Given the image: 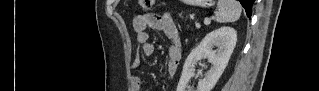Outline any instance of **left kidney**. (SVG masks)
I'll list each match as a JSON object with an SVG mask.
<instances>
[{
  "instance_id": "1",
  "label": "left kidney",
  "mask_w": 319,
  "mask_h": 91,
  "mask_svg": "<svg viewBox=\"0 0 319 91\" xmlns=\"http://www.w3.org/2000/svg\"><path fill=\"white\" fill-rule=\"evenodd\" d=\"M236 42L237 33L231 27H222L208 33L185 60L176 91H211L224 72ZM214 46L218 51L213 50ZM205 58L212 66L207 75L198 81L196 89L192 90L188 83L194 76L195 65Z\"/></svg>"
}]
</instances>
